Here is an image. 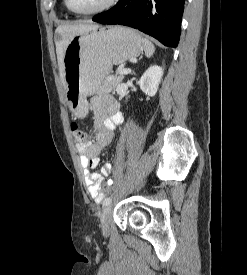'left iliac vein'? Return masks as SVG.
<instances>
[{
	"instance_id": "obj_1",
	"label": "left iliac vein",
	"mask_w": 247,
	"mask_h": 275,
	"mask_svg": "<svg viewBox=\"0 0 247 275\" xmlns=\"http://www.w3.org/2000/svg\"><path fill=\"white\" fill-rule=\"evenodd\" d=\"M112 212L113 208L111 205H107L100 216V221H101V229L104 235H108L109 233V228H110V222L112 218Z\"/></svg>"
}]
</instances>
